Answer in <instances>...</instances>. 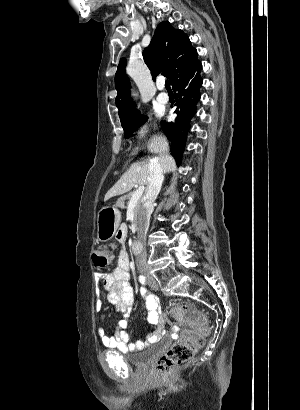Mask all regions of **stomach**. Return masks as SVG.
Here are the masks:
<instances>
[{"instance_id": "obj_1", "label": "stomach", "mask_w": 300, "mask_h": 410, "mask_svg": "<svg viewBox=\"0 0 300 410\" xmlns=\"http://www.w3.org/2000/svg\"><path fill=\"white\" fill-rule=\"evenodd\" d=\"M121 221V214L114 206H104L97 217V238L99 241H107L112 238Z\"/></svg>"}]
</instances>
